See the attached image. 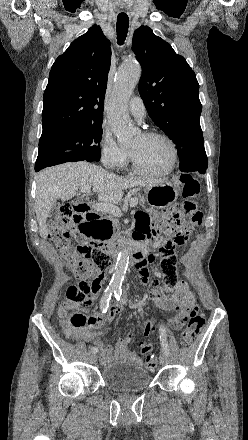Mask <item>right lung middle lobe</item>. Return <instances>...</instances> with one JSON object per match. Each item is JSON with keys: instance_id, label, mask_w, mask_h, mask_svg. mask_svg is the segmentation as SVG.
<instances>
[{"instance_id": "dd1d6c3e", "label": "right lung middle lobe", "mask_w": 248, "mask_h": 440, "mask_svg": "<svg viewBox=\"0 0 248 440\" xmlns=\"http://www.w3.org/2000/svg\"><path fill=\"white\" fill-rule=\"evenodd\" d=\"M101 137L102 123L43 135L39 140L35 170L69 161H99Z\"/></svg>"}]
</instances>
